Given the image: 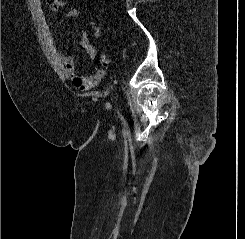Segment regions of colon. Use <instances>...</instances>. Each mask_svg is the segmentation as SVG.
<instances>
[{
	"label": "colon",
	"instance_id": "5ec220e1",
	"mask_svg": "<svg viewBox=\"0 0 245 239\" xmlns=\"http://www.w3.org/2000/svg\"><path fill=\"white\" fill-rule=\"evenodd\" d=\"M47 2L49 3V4H52L53 2H55L54 0H47Z\"/></svg>",
	"mask_w": 245,
	"mask_h": 239
}]
</instances>
